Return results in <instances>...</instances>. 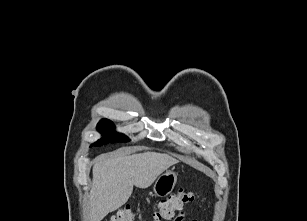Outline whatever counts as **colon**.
<instances>
[{"label":"colon","instance_id":"5ec220e1","mask_svg":"<svg viewBox=\"0 0 307 221\" xmlns=\"http://www.w3.org/2000/svg\"><path fill=\"white\" fill-rule=\"evenodd\" d=\"M197 194L181 188L175 195L158 201L155 204V210L152 214L153 218L156 220L161 219H172L176 212L183 209L184 205L193 202L197 199ZM136 214L133 209L126 206L120 209L114 216H112L108 221H134Z\"/></svg>","mask_w":307,"mask_h":221}]
</instances>
